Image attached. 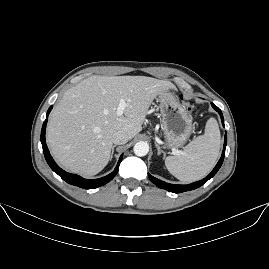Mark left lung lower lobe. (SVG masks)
Masks as SVG:
<instances>
[{"instance_id":"left-lung-lower-lobe-1","label":"left lung lower lobe","mask_w":269,"mask_h":269,"mask_svg":"<svg viewBox=\"0 0 269 269\" xmlns=\"http://www.w3.org/2000/svg\"><path fill=\"white\" fill-rule=\"evenodd\" d=\"M211 105L220 114V117H221V120H222V125H223V127H225L224 126V118H223V114H222L221 110L216 105H214L213 103ZM226 144H227V134L225 133L224 147H223V152H222L220 160L218 161L217 165L212 170V172L207 177H205L204 179H202L200 181H197V182H194V183H191V184H188V185H175V184H169V183H166V182H164L162 180H159V179L153 177L150 174H148V177L159 188L165 189V190H167L169 192L181 193V192L196 189V188L202 186L210 178H212L217 173V171L220 169V167H221V165L223 163V160H224V156H225Z\"/></svg>"}]
</instances>
